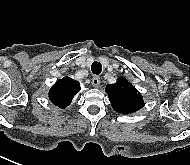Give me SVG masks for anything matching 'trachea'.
Instances as JSON below:
<instances>
[{
    "instance_id": "obj_1",
    "label": "trachea",
    "mask_w": 190,
    "mask_h": 165,
    "mask_svg": "<svg viewBox=\"0 0 190 165\" xmlns=\"http://www.w3.org/2000/svg\"><path fill=\"white\" fill-rule=\"evenodd\" d=\"M91 71L93 74H100L102 71V65L99 62H93L91 65Z\"/></svg>"
}]
</instances>
